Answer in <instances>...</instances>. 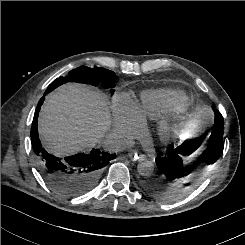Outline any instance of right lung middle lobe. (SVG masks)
Instances as JSON below:
<instances>
[{
    "label": "right lung middle lobe",
    "instance_id": "obj_1",
    "mask_svg": "<svg viewBox=\"0 0 245 245\" xmlns=\"http://www.w3.org/2000/svg\"><path fill=\"white\" fill-rule=\"evenodd\" d=\"M115 79V73L105 68L80 67L70 71L67 76H61L54 80V82L48 86L45 93H49L66 82H78L94 86L101 85L103 88H113L115 87ZM113 91V89L110 90V92Z\"/></svg>",
    "mask_w": 245,
    "mask_h": 245
}]
</instances>
